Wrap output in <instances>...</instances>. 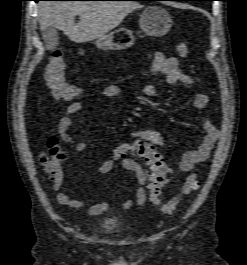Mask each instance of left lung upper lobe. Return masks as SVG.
Returning <instances> with one entry per match:
<instances>
[{
  "mask_svg": "<svg viewBox=\"0 0 247 265\" xmlns=\"http://www.w3.org/2000/svg\"><path fill=\"white\" fill-rule=\"evenodd\" d=\"M202 1H212V0H202Z\"/></svg>",
  "mask_w": 247,
  "mask_h": 265,
  "instance_id": "1",
  "label": "left lung upper lobe"
}]
</instances>
